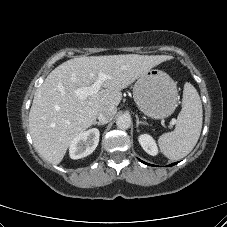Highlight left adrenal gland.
<instances>
[{"instance_id": "left-adrenal-gland-1", "label": "left adrenal gland", "mask_w": 227, "mask_h": 227, "mask_svg": "<svg viewBox=\"0 0 227 227\" xmlns=\"http://www.w3.org/2000/svg\"><path fill=\"white\" fill-rule=\"evenodd\" d=\"M140 124H144L142 121H139V118H138V116L136 115V127L138 128V126L140 125ZM137 131H138V129H137Z\"/></svg>"}]
</instances>
